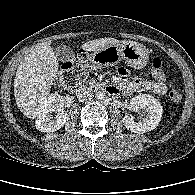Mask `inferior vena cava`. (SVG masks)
Wrapping results in <instances>:
<instances>
[{
    "mask_svg": "<svg viewBox=\"0 0 195 195\" xmlns=\"http://www.w3.org/2000/svg\"><path fill=\"white\" fill-rule=\"evenodd\" d=\"M93 96V93L87 89L81 90L77 93V98L80 102L91 100Z\"/></svg>",
    "mask_w": 195,
    "mask_h": 195,
    "instance_id": "1",
    "label": "inferior vena cava"
}]
</instances>
